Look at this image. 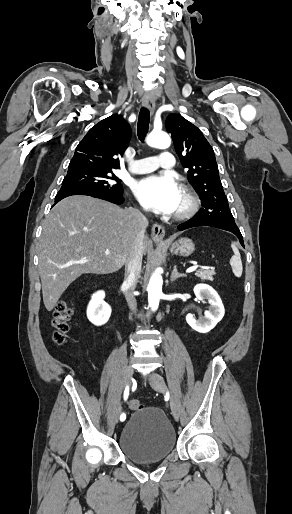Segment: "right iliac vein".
I'll list each match as a JSON object with an SVG mask.
<instances>
[{
  "label": "right iliac vein",
  "instance_id": "right-iliac-vein-1",
  "mask_svg": "<svg viewBox=\"0 0 292 514\" xmlns=\"http://www.w3.org/2000/svg\"><path fill=\"white\" fill-rule=\"evenodd\" d=\"M133 376V367L131 365H128L125 370V385L129 386L131 384ZM120 410L117 409L115 413V421H118Z\"/></svg>",
  "mask_w": 292,
  "mask_h": 514
}]
</instances>
